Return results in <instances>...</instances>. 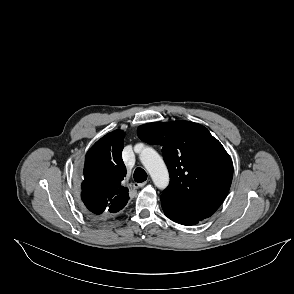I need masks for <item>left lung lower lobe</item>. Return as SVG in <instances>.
<instances>
[{"label": "left lung lower lobe", "mask_w": 294, "mask_h": 294, "mask_svg": "<svg viewBox=\"0 0 294 294\" xmlns=\"http://www.w3.org/2000/svg\"><path fill=\"white\" fill-rule=\"evenodd\" d=\"M162 209L165 213V215L173 220L174 222H177L182 225H194L199 223L201 220H203L200 217H197L195 215H192L188 213L187 211L177 208L174 206H171L167 203H165L163 200H161Z\"/></svg>", "instance_id": "obj_1"}]
</instances>
